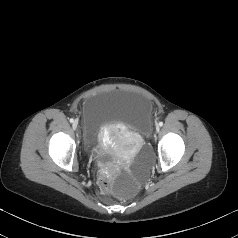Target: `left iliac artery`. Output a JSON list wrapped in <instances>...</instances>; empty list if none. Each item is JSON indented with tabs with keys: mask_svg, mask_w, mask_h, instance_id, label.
I'll use <instances>...</instances> for the list:
<instances>
[{
	"mask_svg": "<svg viewBox=\"0 0 238 238\" xmlns=\"http://www.w3.org/2000/svg\"><path fill=\"white\" fill-rule=\"evenodd\" d=\"M159 126H163V122H159Z\"/></svg>",
	"mask_w": 238,
	"mask_h": 238,
	"instance_id": "obj_1",
	"label": "left iliac artery"
}]
</instances>
